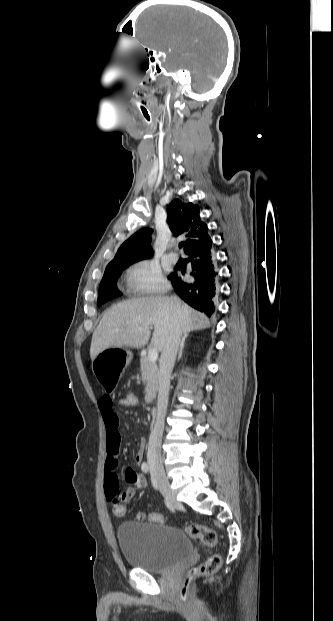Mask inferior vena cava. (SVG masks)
Here are the masks:
<instances>
[{
	"label": "inferior vena cava",
	"mask_w": 333,
	"mask_h": 621,
	"mask_svg": "<svg viewBox=\"0 0 333 621\" xmlns=\"http://www.w3.org/2000/svg\"><path fill=\"white\" fill-rule=\"evenodd\" d=\"M176 307L179 302L176 298L172 300ZM182 330L178 325L176 318L173 319L169 331L166 336L165 344L161 354L159 366V393L157 401V419L154 428L151 430L147 461L148 463H158L162 465L161 459V442L164 431L165 415L168 406L170 376L175 364L176 355L181 343Z\"/></svg>",
	"instance_id": "obj_1"
}]
</instances>
